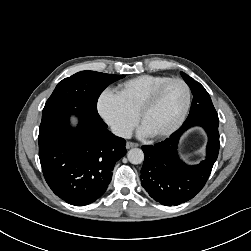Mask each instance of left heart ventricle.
I'll return each mask as SVG.
<instances>
[{
    "mask_svg": "<svg viewBox=\"0 0 251 251\" xmlns=\"http://www.w3.org/2000/svg\"><path fill=\"white\" fill-rule=\"evenodd\" d=\"M186 101V90L180 83L168 85L156 104L145 114L141 126L149 134L168 129L178 119Z\"/></svg>",
    "mask_w": 251,
    "mask_h": 251,
    "instance_id": "obj_1",
    "label": "left heart ventricle"
}]
</instances>
